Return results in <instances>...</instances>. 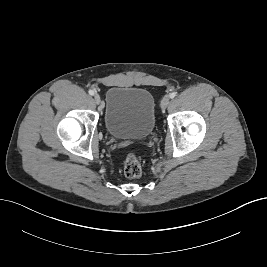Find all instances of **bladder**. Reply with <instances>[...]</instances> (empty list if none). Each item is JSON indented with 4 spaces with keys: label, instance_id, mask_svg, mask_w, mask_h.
<instances>
[{
    "label": "bladder",
    "instance_id": "obj_1",
    "mask_svg": "<svg viewBox=\"0 0 267 267\" xmlns=\"http://www.w3.org/2000/svg\"><path fill=\"white\" fill-rule=\"evenodd\" d=\"M104 126L118 139H144L155 127V99L141 87H110L105 97Z\"/></svg>",
    "mask_w": 267,
    "mask_h": 267
}]
</instances>
